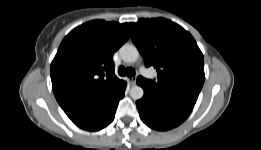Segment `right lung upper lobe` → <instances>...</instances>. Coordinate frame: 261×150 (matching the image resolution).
<instances>
[{
	"label": "right lung upper lobe",
	"mask_w": 261,
	"mask_h": 150,
	"mask_svg": "<svg viewBox=\"0 0 261 150\" xmlns=\"http://www.w3.org/2000/svg\"><path fill=\"white\" fill-rule=\"evenodd\" d=\"M128 23L94 20L73 29L51 63L54 95L72 122L118 96L126 82L114 73L113 54L128 40Z\"/></svg>",
	"instance_id": "1"
}]
</instances>
